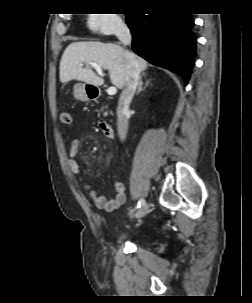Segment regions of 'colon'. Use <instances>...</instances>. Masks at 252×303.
Listing matches in <instances>:
<instances>
[{
	"mask_svg": "<svg viewBox=\"0 0 252 303\" xmlns=\"http://www.w3.org/2000/svg\"><path fill=\"white\" fill-rule=\"evenodd\" d=\"M60 121L62 124L70 125L73 122L71 113L67 110L62 111L60 114Z\"/></svg>",
	"mask_w": 252,
	"mask_h": 303,
	"instance_id": "colon-1",
	"label": "colon"
}]
</instances>
